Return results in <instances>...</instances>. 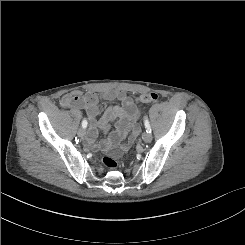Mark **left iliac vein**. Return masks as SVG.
Instances as JSON below:
<instances>
[{"mask_svg": "<svg viewBox=\"0 0 245 245\" xmlns=\"http://www.w3.org/2000/svg\"><path fill=\"white\" fill-rule=\"evenodd\" d=\"M142 138H143L144 142H148L149 143L152 140V135L150 133H145Z\"/></svg>", "mask_w": 245, "mask_h": 245, "instance_id": "left-iliac-vein-1", "label": "left iliac vein"}]
</instances>
